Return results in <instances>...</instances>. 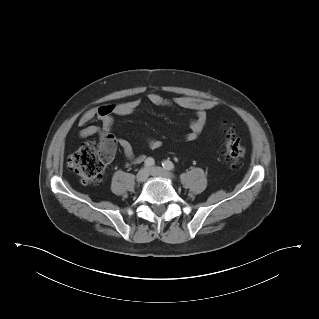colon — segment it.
I'll return each instance as SVG.
<instances>
[{
	"instance_id": "1",
	"label": "colon",
	"mask_w": 319,
	"mask_h": 319,
	"mask_svg": "<svg viewBox=\"0 0 319 319\" xmlns=\"http://www.w3.org/2000/svg\"><path fill=\"white\" fill-rule=\"evenodd\" d=\"M223 157L231 168H237L245 155V146L231 127L225 128ZM115 151V141L111 135L100 139L99 143H84L70 158L68 166L85 184L101 182L106 164Z\"/></svg>"
}]
</instances>
